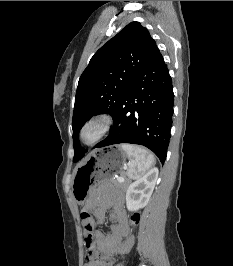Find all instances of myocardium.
<instances>
[{"label": "myocardium", "instance_id": "obj_1", "mask_svg": "<svg viewBox=\"0 0 233 266\" xmlns=\"http://www.w3.org/2000/svg\"><path fill=\"white\" fill-rule=\"evenodd\" d=\"M113 124V117L108 112L99 113L91 116L81 126L79 140L86 146H92L100 142L109 132ZM90 129L95 131L92 138L86 137V132Z\"/></svg>", "mask_w": 233, "mask_h": 266}]
</instances>
